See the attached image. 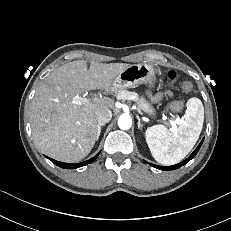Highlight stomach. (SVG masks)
<instances>
[{
    "instance_id": "obj_1",
    "label": "stomach",
    "mask_w": 231,
    "mask_h": 231,
    "mask_svg": "<svg viewBox=\"0 0 231 231\" xmlns=\"http://www.w3.org/2000/svg\"><path fill=\"white\" fill-rule=\"evenodd\" d=\"M155 71L153 66L145 63L132 64L121 71L114 80V90L134 88L141 84L153 86ZM139 108L146 113L151 120L156 119L157 114L151 103L143 96L137 98Z\"/></svg>"
}]
</instances>
